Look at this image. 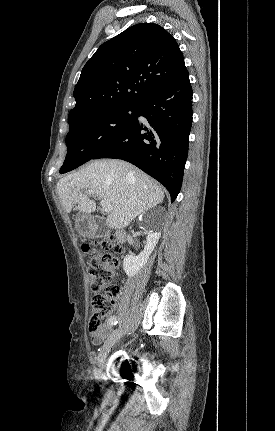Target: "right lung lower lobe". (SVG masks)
Here are the masks:
<instances>
[{"mask_svg": "<svg viewBox=\"0 0 275 431\" xmlns=\"http://www.w3.org/2000/svg\"><path fill=\"white\" fill-rule=\"evenodd\" d=\"M192 94L185 70L172 84L141 101L134 122L93 159L119 158L136 165L163 184L173 202L188 155Z\"/></svg>", "mask_w": 275, "mask_h": 431, "instance_id": "98d812e1", "label": "right lung lower lobe"}]
</instances>
